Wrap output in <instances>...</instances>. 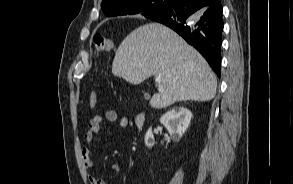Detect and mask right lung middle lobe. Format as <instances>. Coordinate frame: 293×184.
Segmentation results:
<instances>
[{"label": "right lung middle lobe", "mask_w": 293, "mask_h": 184, "mask_svg": "<svg viewBox=\"0 0 293 184\" xmlns=\"http://www.w3.org/2000/svg\"><path fill=\"white\" fill-rule=\"evenodd\" d=\"M164 2L155 4L150 10L145 11V15L148 16V18H153L159 14V12L164 8Z\"/></svg>", "instance_id": "obj_1"}]
</instances>
